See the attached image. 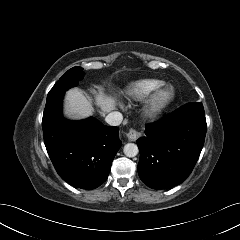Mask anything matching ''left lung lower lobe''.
<instances>
[{
	"mask_svg": "<svg viewBox=\"0 0 240 240\" xmlns=\"http://www.w3.org/2000/svg\"><path fill=\"white\" fill-rule=\"evenodd\" d=\"M206 127L200 102L187 103L146 125V136L137 140L140 179L153 189H167L185 181L203 148Z\"/></svg>",
	"mask_w": 240,
	"mask_h": 240,
	"instance_id": "1",
	"label": "left lung lower lobe"
}]
</instances>
